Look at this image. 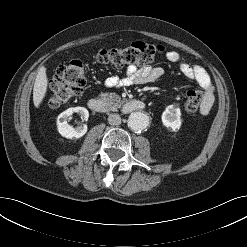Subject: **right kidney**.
<instances>
[{
  "instance_id": "ca27d5eb",
  "label": "right kidney",
  "mask_w": 247,
  "mask_h": 247,
  "mask_svg": "<svg viewBox=\"0 0 247 247\" xmlns=\"http://www.w3.org/2000/svg\"><path fill=\"white\" fill-rule=\"evenodd\" d=\"M73 113H79L81 115L82 120L87 121L89 117V112L84 107H72L68 108L61 114H59L57 118V129L58 132L65 138L72 139V138H80L87 132V125H80L77 127H73L68 124L67 120L69 116Z\"/></svg>"
}]
</instances>
